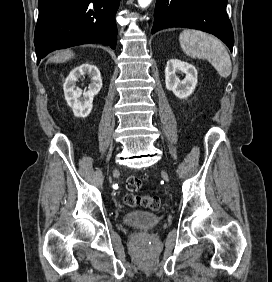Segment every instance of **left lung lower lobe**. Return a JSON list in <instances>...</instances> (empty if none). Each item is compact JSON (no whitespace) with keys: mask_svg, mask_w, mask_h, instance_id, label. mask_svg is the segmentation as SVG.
Here are the masks:
<instances>
[{"mask_svg":"<svg viewBox=\"0 0 272 282\" xmlns=\"http://www.w3.org/2000/svg\"><path fill=\"white\" fill-rule=\"evenodd\" d=\"M227 0H156L152 33L186 27L211 33L232 51L234 35L226 13Z\"/></svg>","mask_w":272,"mask_h":282,"instance_id":"left-lung-lower-lobe-1","label":"left lung lower lobe"}]
</instances>
